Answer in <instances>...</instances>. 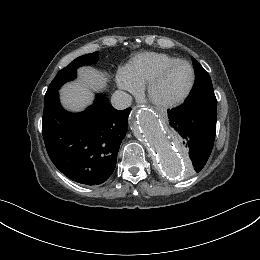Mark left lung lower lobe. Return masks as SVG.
Listing matches in <instances>:
<instances>
[{
	"label": "left lung lower lobe",
	"instance_id": "1",
	"mask_svg": "<svg viewBox=\"0 0 260 260\" xmlns=\"http://www.w3.org/2000/svg\"><path fill=\"white\" fill-rule=\"evenodd\" d=\"M217 100L201 99L168 110V121L174 135L183 142L192 162V169L200 172L213 149Z\"/></svg>",
	"mask_w": 260,
	"mask_h": 260
}]
</instances>
